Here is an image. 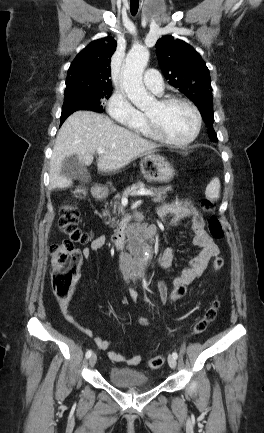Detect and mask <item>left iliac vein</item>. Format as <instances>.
<instances>
[{
	"instance_id": "obj_1",
	"label": "left iliac vein",
	"mask_w": 264,
	"mask_h": 433,
	"mask_svg": "<svg viewBox=\"0 0 264 433\" xmlns=\"http://www.w3.org/2000/svg\"><path fill=\"white\" fill-rule=\"evenodd\" d=\"M168 364L172 369H174V368H176L177 361L173 356L169 355L168 356Z\"/></svg>"
}]
</instances>
